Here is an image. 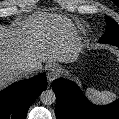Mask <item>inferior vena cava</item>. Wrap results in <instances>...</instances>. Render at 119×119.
I'll return each mask as SVG.
<instances>
[{"label":"inferior vena cava","mask_w":119,"mask_h":119,"mask_svg":"<svg viewBox=\"0 0 119 119\" xmlns=\"http://www.w3.org/2000/svg\"><path fill=\"white\" fill-rule=\"evenodd\" d=\"M37 70L34 66H28L21 68L20 72L22 73L23 77H29Z\"/></svg>","instance_id":"602c4592"}]
</instances>
